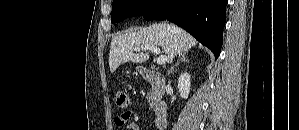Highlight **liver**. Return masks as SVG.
<instances>
[{
    "label": "liver",
    "instance_id": "6515ba94",
    "mask_svg": "<svg viewBox=\"0 0 299 130\" xmlns=\"http://www.w3.org/2000/svg\"><path fill=\"white\" fill-rule=\"evenodd\" d=\"M197 44L185 30L167 23L148 26L138 31H128L112 38L109 52V67L111 73L125 62L142 63L149 58L148 53H134L135 47L155 45L162 47L168 60L175 57V50L187 52Z\"/></svg>",
    "mask_w": 299,
    "mask_h": 130
}]
</instances>
